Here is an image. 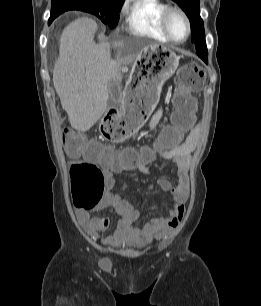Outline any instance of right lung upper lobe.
<instances>
[{"label": "right lung upper lobe", "instance_id": "right-lung-upper-lobe-1", "mask_svg": "<svg viewBox=\"0 0 261 306\" xmlns=\"http://www.w3.org/2000/svg\"><path fill=\"white\" fill-rule=\"evenodd\" d=\"M59 1L71 2V1H75V0H52V2H59Z\"/></svg>", "mask_w": 261, "mask_h": 306}]
</instances>
